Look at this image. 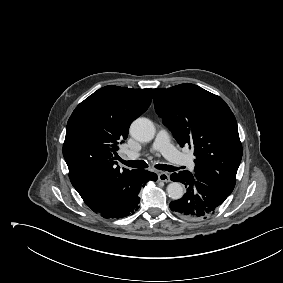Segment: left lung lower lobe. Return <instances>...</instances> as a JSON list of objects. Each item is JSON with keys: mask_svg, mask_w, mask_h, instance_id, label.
Here are the masks:
<instances>
[{"mask_svg": "<svg viewBox=\"0 0 283 283\" xmlns=\"http://www.w3.org/2000/svg\"><path fill=\"white\" fill-rule=\"evenodd\" d=\"M170 178L183 183L187 188L182 198L169 205L176 215L184 219H205L214 214L228 197L224 192L195 180L187 171L173 173Z\"/></svg>", "mask_w": 283, "mask_h": 283, "instance_id": "obj_1", "label": "left lung lower lobe"}]
</instances>
